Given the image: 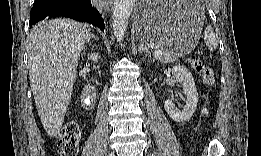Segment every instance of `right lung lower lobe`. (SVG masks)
<instances>
[{
  "label": "right lung lower lobe",
  "instance_id": "1",
  "mask_svg": "<svg viewBox=\"0 0 261 156\" xmlns=\"http://www.w3.org/2000/svg\"><path fill=\"white\" fill-rule=\"evenodd\" d=\"M55 16L88 22L104 31V21L91 0H35L29 25Z\"/></svg>",
  "mask_w": 261,
  "mask_h": 156
}]
</instances>
